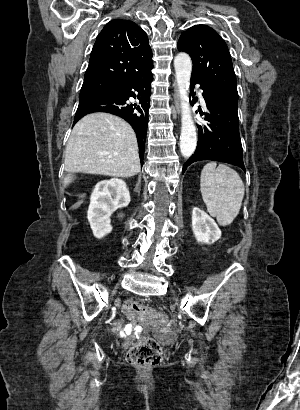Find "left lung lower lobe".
I'll use <instances>...</instances> for the list:
<instances>
[{
	"label": "left lung lower lobe",
	"instance_id": "obj_1",
	"mask_svg": "<svg viewBox=\"0 0 300 410\" xmlns=\"http://www.w3.org/2000/svg\"><path fill=\"white\" fill-rule=\"evenodd\" d=\"M196 83L200 84L203 90L202 95L208 109V112L204 113V120L209 123L204 127L198 126L197 148L183 165V173L190 164L201 160L226 162L246 171L239 134L238 104L193 77H191V91ZM200 114L203 115L202 112Z\"/></svg>",
	"mask_w": 300,
	"mask_h": 410
}]
</instances>
